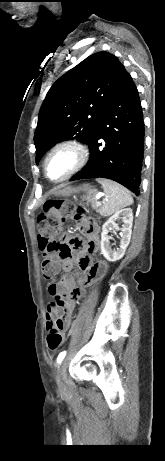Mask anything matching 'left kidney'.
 <instances>
[{"mask_svg":"<svg viewBox=\"0 0 165 461\" xmlns=\"http://www.w3.org/2000/svg\"><path fill=\"white\" fill-rule=\"evenodd\" d=\"M122 216L123 225L120 229V246L117 250H112L109 245L108 233L110 230H119L116 220ZM132 222H133V212L131 208H125L115 212L102 226L101 233V252L103 256L110 262H115L120 260L126 251L127 246L130 243L131 233H132Z\"/></svg>","mask_w":165,"mask_h":461,"instance_id":"left-kidney-1","label":"left kidney"}]
</instances>
